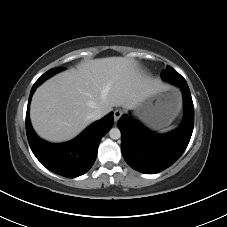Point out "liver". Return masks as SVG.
<instances>
[{"mask_svg":"<svg viewBox=\"0 0 227 227\" xmlns=\"http://www.w3.org/2000/svg\"><path fill=\"white\" fill-rule=\"evenodd\" d=\"M147 80L126 57L85 61L44 82L33 95L30 118L37 134L52 142L68 141L92 123L95 110L136 108L147 96Z\"/></svg>","mask_w":227,"mask_h":227,"instance_id":"1","label":"liver"}]
</instances>
